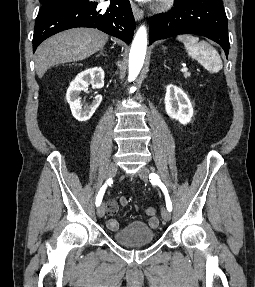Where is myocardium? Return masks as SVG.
<instances>
[{
    "instance_id": "1",
    "label": "myocardium",
    "mask_w": 255,
    "mask_h": 287,
    "mask_svg": "<svg viewBox=\"0 0 255 287\" xmlns=\"http://www.w3.org/2000/svg\"><path fill=\"white\" fill-rule=\"evenodd\" d=\"M149 33H152V32H149ZM144 39H146V38H144ZM159 39H164V38H159ZM133 48H135V47H133ZM163 48H168V47H163Z\"/></svg>"
}]
</instances>
